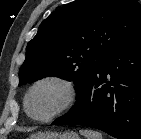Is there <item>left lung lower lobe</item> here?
Here are the masks:
<instances>
[{
    "instance_id": "0a47b994",
    "label": "left lung lower lobe",
    "mask_w": 141,
    "mask_h": 139,
    "mask_svg": "<svg viewBox=\"0 0 141 139\" xmlns=\"http://www.w3.org/2000/svg\"><path fill=\"white\" fill-rule=\"evenodd\" d=\"M65 124L141 139V28L105 56L75 105L52 123Z\"/></svg>"
}]
</instances>
